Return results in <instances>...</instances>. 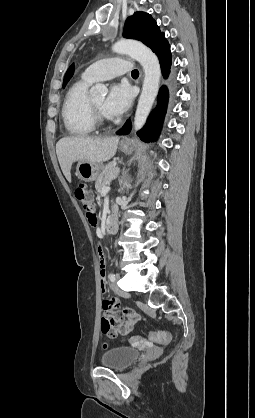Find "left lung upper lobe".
I'll return each mask as SVG.
<instances>
[{
	"mask_svg": "<svg viewBox=\"0 0 255 418\" xmlns=\"http://www.w3.org/2000/svg\"><path fill=\"white\" fill-rule=\"evenodd\" d=\"M123 36L143 42L153 52L166 41L164 33H161L155 20L145 12H135L127 18Z\"/></svg>",
	"mask_w": 255,
	"mask_h": 418,
	"instance_id": "1",
	"label": "left lung upper lobe"
}]
</instances>
